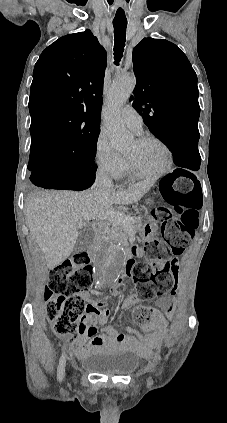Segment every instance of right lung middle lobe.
<instances>
[{"label": "right lung middle lobe", "instance_id": "right-lung-middle-lobe-1", "mask_svg": "<svg viewBox=\"0 0 227 423\" xmlns=\"http://www.w3.org/2000/svg\"><path fill=\"white\" fill-rule=\"evenodd\" d=\"M98 134H91L74 146L68 148L49 149L45 151L30 153L28 170L35 171L45 168L44 163L49 159H60L77 164L86 168L94 167L96 144Z\"/></svg>", "mask_w": 227, "mask_h": 423}]
</instances>
